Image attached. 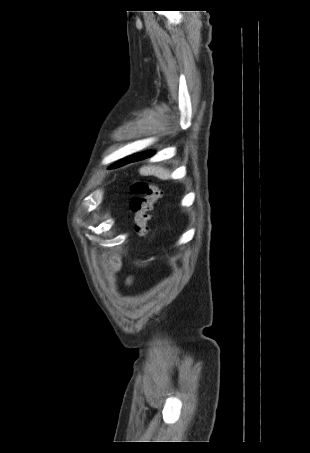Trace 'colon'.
I'll use <instances>...</instances> for the list:
<instances>
[{"instance_id":"obj_1","label":"colon","mask_w":310,"mask_h":453,"mask_svg":"<svg viewBox=\"0 0 310 453\" xmlns=\"http://www.w3.org/2000/svg\"><path fill=\"white\" fill-rule=\"evenodd\" d=\"M133 198L130 203L134 214V230L141 238L149 235L151 212L162 197V191L151 182L138 180L131 186Z\"/></svg>"}]
</instances>
